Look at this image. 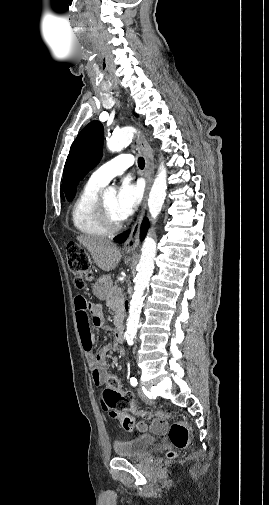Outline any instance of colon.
<instances>
[{
    "label": "colon",
    "instance_id": "obj_1",
    "mask_svg": "<svg viewBox=\"0 0 269 505\" xmlns=\"http://www.w3.org/2000/svg\"><path fill=\"white\" fill-rule=\"evenodd\" d=\"M66 259L68 268L75 276L78 288H84L92 278L91 263L87 252L77 244L67 247ZM105 389L100 395L102 408L112 418H120L125 430L131 431L135 425L134 414L150 418L153 414L164 415L162 409L152 411L138 409L134 405V397L130 392L120 391V380L114 374H108L104 381ZM168 437L175 449H185L190 442L189 426L185 421H175L168 429ZM174 453L171 452L170 455Z\"/></svg>",
    "mask_w": 269,
    "mask_h": 505
}]
</instances>
